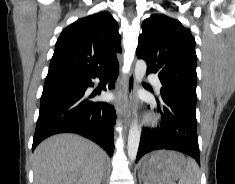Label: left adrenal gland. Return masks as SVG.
Instances as JSON below:
<instances>
[{
	"label": "left adrenal gland",
	"instance_id": "obj_1",
	"mask_svg": "<svg viewBox=\"0 0 235 184\" xmlns=\"http://www.w3.org/2000/svg\"><path fill=\"white\" fill-rule=\"evenodd\" d=\"M139 184H142L141 180H139Z\"/></svg>",
	"mask_w": 235,
	"mask_h": 184
}]
</instances>
